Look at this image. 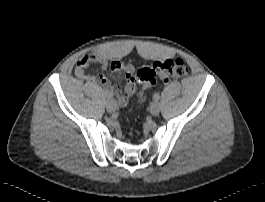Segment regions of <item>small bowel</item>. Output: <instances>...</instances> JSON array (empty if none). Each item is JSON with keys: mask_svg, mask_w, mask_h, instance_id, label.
I'll return each mask as SVG.
<instances>
[{"mask_svg": "<svg viewBox=\"0 0 265 202\" xmlns=\"http://www.w3.org/2000/svg\"><path fill=\"white\" fill-rule=\"evenodd\" d=\"M99 65L102 69L112 71L125 76L126 84L122 89L112 84L104 74L87 73L88 67ZM75 75L93 84L103 86L110 96L116 97L121 105L127 104L136 92L134 68L128 61L108 60L103 53L89 52L83 54L77 61Z\"/></svg>", "mask_w": 265, "mask_h": 202, "instance_id": "small-bowel-1", "label": "small bowel"}]
</instances>
